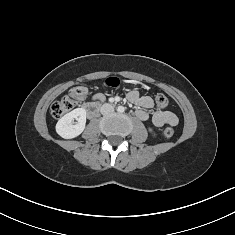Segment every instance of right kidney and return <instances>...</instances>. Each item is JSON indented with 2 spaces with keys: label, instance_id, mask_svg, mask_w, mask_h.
I'll return each mask as SVG.
<instances>
[{
  "label": "right kidney",
  "instance_id": "1",
  "mask_svg": "<svg viewBox=\"0 0 235 235\" xmlns=\"http://www.w3.org/2000/svg\"><path fill=\"white\" fill-rule=\"evenodd\" d=\"M74 119L77 120L73 124ZM86 111L83 108H76L65 114L56 124V132L62 138L72 139L79 136L85 129Z\"/></svg>",
  "mask_w": 235,
  "mask_h": 235
}]
</instances>
